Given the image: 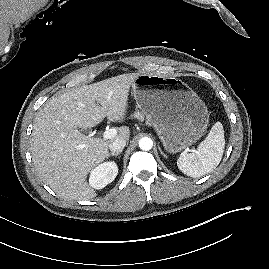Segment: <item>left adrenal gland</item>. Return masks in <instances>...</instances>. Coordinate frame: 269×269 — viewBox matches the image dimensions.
<instances>
[{
	"label": "left adrenal gland",
	"mask_w": 269,
	"mask_h": 269,
	"mask_svg": "<svg viewBox=\"0 0 269 269\" xmlns=\"http://www.w3.org/2000/svg\"><path fill=\"white\" fill-rule=\"evenodd\" d=\"M159 150H160V152L163 154V152H162V150H161V148L159 147ZM164 156H165V154H163Z\"/></svg>",
	"instance_id": "obj_1"
}]
</instances>
